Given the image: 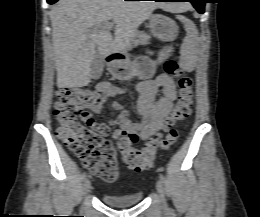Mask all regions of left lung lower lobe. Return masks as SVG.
Instances as JSON below:
<instances>
[{
    "label": "left lung lower lobe",
    "mask_w": 260,
    "mask_h": 217,
    "mask_svg": "<svg viewBox=\"0 0 260 217\" xmlns=\"http://www.w3.org/2000/svg\"><path fill=\"white\" fill-rule=\"evenodd\" d=\"M154 1H170V2H181V1H188L193 4V6L197 9L199 13H204V4L206 0H154Z\"/></svg>",
    "instance_id": "obj_1"
}]
</instances>
